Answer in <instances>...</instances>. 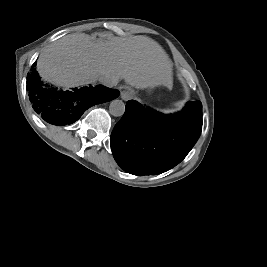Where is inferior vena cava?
<instances>
[{
  "label": "inferior vena cava",
  "instance_id": "602c4592",
  "mask_svg": "<svg viewBox=\"0 0 267 267\" xmlns=\"http://www.w3.org/2000/svg\"><path fill=\"white\" fill-rule=\"evenodd\" d=\"M98 80L101 84L107 87H114L118 83V79L110 75H100Z\"/></svg>",
  "mask_w": 267,
  "mask_h": 267
}]
</instances>
